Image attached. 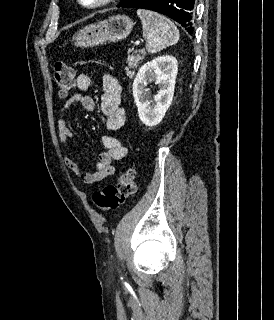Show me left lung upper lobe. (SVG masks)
Returning a JSON list of instances; mask_svg holds the SVG:
<instances>
[{"label":"left lung upper lobe","instance_id":"5c2ea615","mask_svg":"<svg viewBox=\"0 0 274 320\" xmlns=\"http://www.w3.org/2000/svg\"><path fill=\"white\" fill-rule=\"evenodd\" d=\"M127 0H122V2L117 6L120 7L121 5H123Z\"/></svg>","mask_w":274,"mask_h":320}]
</instances>
